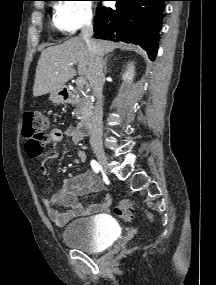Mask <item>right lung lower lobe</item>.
I'll return each mask as SVG.
<instances>
[{
    "instance_id": "1",
    "label": "right lung lower lobe",
    "mask_w": 216,
    "mask_h": 285,
    "mask_svg": "<svg viewBox=\"0 0 216 285\" xmlns=\"http://www.w3.org/2000/svg\"><path fill=\"white\" fill-rule=\"evenodd\" d=\"M114 1V8L98 5L94 25L95 36L140 45L153 61L158 48L164 1L167 0Z\"/></svg>"
}]
</instances>
